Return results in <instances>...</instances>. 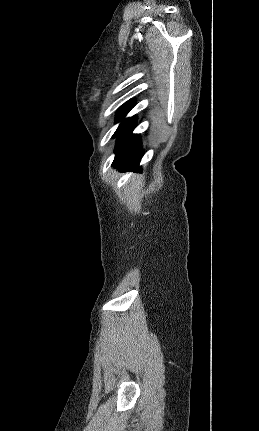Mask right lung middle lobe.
<instances>
[{"mask_svg":"<svg viewBox=\"0 0 259 431\" xmlns=\"http://www.w3.org/2000/svg\"><path fill=\"white\" fill-rule=\"evenodd\" d=\"M133 106H134L133 100H130V101L126 102L124 105H122L117 111L116 122H119L122 119H124L126 114L131 110V108Z\"/></svg>","mask_w":259,"mask_h":431,"instance_id":"dd1d6c3e","label":"right lung middle lobe"}]
</instances>
